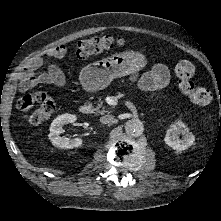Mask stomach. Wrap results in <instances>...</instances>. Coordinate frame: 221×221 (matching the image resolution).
<instances>
[{
  "label": "stomach",
  "mask_w": 221,
  "mask_h": 221,
  "mask_svg": "<svg viewBox=\"0 0 221 221\" xmlns=\"http://www.w3.org/2000/svg\"><path fill=\"white\" fill-rule=\"evenodd\" d=\"M146 64V57L140 52L116 53L85 66L80 72L79 80L88 91L102 90L115 78L136 75Z\"/></svg>",
  "instance_id": "obj_1"
}]
</instances>
